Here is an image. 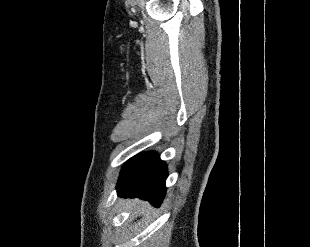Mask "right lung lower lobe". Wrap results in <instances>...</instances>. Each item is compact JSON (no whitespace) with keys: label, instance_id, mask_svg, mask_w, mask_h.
I'll list each match as a JSON object with an SVG mask.
<instances>
[{"label":"right lung lower lobe","instance_id":"obj_1","mask_svg":"<svg viewBox=\"0 0 310 247\" xmlns=\"http://www.w3.org/2000/svg\"><path fill=\"white\" fill-rule=\"evenodd\" d=\"M167 175V166L157 153L139 154L123 166L118 196L140 197L158 207L165 196Z\"/></svg>","mask_w":310,"mask_h":247}]
</instances>
